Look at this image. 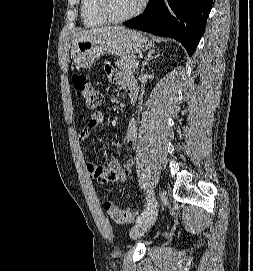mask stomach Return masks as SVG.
Instances as JSON below:
<instances>
[{
  "mask_svg": "<svg viewBox=\"0 0 253 271\" xmlns=\"http://www.w3.org/2000/svg\"><path fill=\"white\" fill-rule=\"evenodd\" d=\"M151 43L140 32L120 29L93 33L77 40L72 48V59L80 68H89L106 54L125 56L150 49Z\"/></svg>",
  "mask_w": 253,
  "mask_h": 271,
  "instance_id": "1",
  "label": "stomach"
}]
</instances>
